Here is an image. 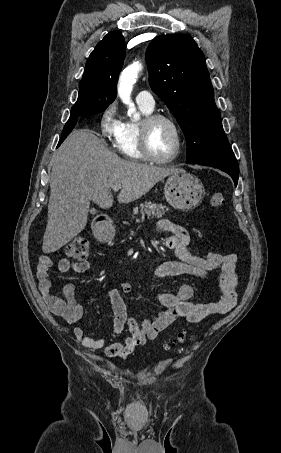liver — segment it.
<instances>
[{"instance_id":"6515ba94","label":"liver","mask_w":281,"mask_h":453,"mask_svg":"<svg viewBox=\"0 0 281 453\" xmlns=\"http://www.w3.org/2000/svg\"><path fill=\"white\" fill-rule=\"evenodd\" d=\"M175 172L185 170L123 160L94 130H73L52 158L43 253H55L85 229L90 200L101 208L113 206L114 184L122 186L119 202H132Z\"/></svg>"}]
</instances>
